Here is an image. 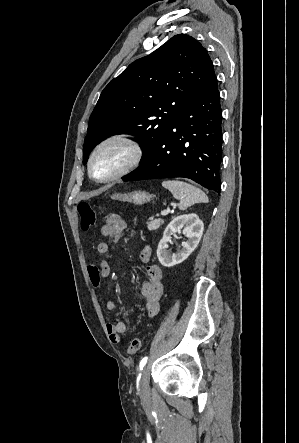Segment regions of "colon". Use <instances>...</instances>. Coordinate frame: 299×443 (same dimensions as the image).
I'll return each instance as SVG.
<instances>
[{
  "label": "colon",
  "mask_w": 299,
  "mask_h": 443,
  "mask_svg": "<svg viewBox=\"0 0 299 443\" xmlns=\"http://www.w3.org/2000/svg\"><path fill=\"white\" fill-rule=\"evenodd\" d=\"M78 214L80 216L81 228L87 230L95 226L97 217L94 208L87 202H81L78 205ZM141 348L140 338H134L131 340L128 347V353L130 355H135Z\"/></svg>",
  "instance_id": "1"
}]
</instances>
